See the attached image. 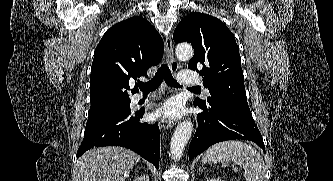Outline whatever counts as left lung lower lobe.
<instances>
[{"mask_svg": "<svg viewBox=\"0 0 333 181\" xmlns=\"http://www.w3.org/2000/svg\"><path fill=\"white\" fill-rule=\"evenodd\" d=\"M204 112L197 115L198 129L189 145V160L209 146L226 140L242 139L256 143L265 151L261 133L250 114L225 109L216 104H195Z\"/></svg>", "mask_w": 333, "mask_h": 181, "instance_id": "1", "label": "left lung lower lobe"}]
</instances>
